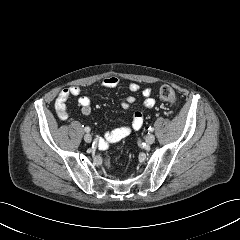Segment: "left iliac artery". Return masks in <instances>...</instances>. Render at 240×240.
Returning <instances> with one entry per match:
<instances>
[{
    "label": "left iliac artery",
    "instance_id": "left-iliac-artery-1",
    "mask_svg": "<svg viewBox=\"0 0 240 240\" xmlns=\"http://www.w3.org/2000/svg\"><path fill=\"white\" fill-rule=\"evenodd\" d=\"M148 131H149V132H153V131H154V128H153V127H149V128H148Z\"/></svg>",
    "mask_w": 240,
    "mask_h": 240
}]
</instances>
